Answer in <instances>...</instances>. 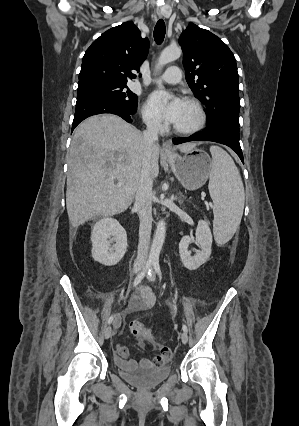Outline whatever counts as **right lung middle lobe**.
<instances>
[{
	"label": "right lung middle lobe",
	"mask_w": 299,
	"mask_h": 426,
	"mask_svg": "<svg viewBox=\"0 0 299 426\" xmlns=\"http://www.w3.org/2000/svg\"><path fill=\"white\" fill-rule=\"evenodd\" d=\"M86 95L105 97L127 108L137 107V95L126 84L91 83L78 86L77 98Z\"/></svg>",
	"instance_id": "dd1d6c3e"
}]
</instances>
